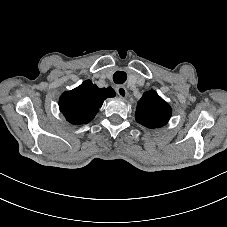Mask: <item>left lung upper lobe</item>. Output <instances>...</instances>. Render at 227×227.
Segmentation results:
<instances>
[{
    "label": "left lung upper lobe",
    "instance_id": "1",
    "mask_svg": "<svg viewBox=\"0 0 227 227\" xmlns=\"http://www.w3.org/2000/svg\"><path fill=\"white\" fill-rule=\"evenodd\" d=\"M171 117L170 106L154 91L143 94L137 104L136 121L148 128H159Z\"/></svg>",
    "mask_w": 227,
    "mask_h": 227
}]
</instances>
